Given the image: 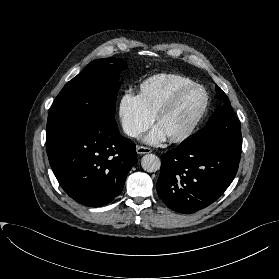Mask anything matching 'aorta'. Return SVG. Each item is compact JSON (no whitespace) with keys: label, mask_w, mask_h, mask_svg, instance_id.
Returning <instances> with one entry per match:
<instances>
[{"label":"aorta","mask_w":279,"mask_h":279,"mask_svg":"<svg viewBox=\"0 0 279 279\" xmlns=\"http://www.w3.org/2000/svg\"><path fill=\"white\" fill-rule=\"evenodd\" d=\"M161 165L160 159L154 154H146L141 159V166L147 172H156Z\"/></svg>","instance_id":"obj_1"}]
</instances>
